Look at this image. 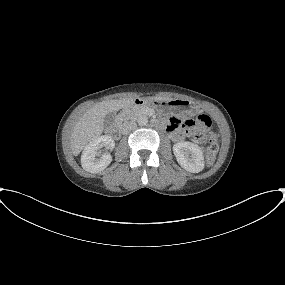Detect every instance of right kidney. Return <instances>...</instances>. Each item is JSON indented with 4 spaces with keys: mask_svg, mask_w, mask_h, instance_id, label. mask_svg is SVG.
I'll return each mask as SVG.
<instances>
[{
    "mask_svg": "<svg viewBox=\"0 0 285 285\" xmlns=\"http://www.w3.org/2000/svg\"><path fill=\"white\" fill-rule=\"evenodd\" d=\"M115 146L113 139L108 135H102L93 139L85 146L81 155V165L84 170L90 173H99L104 170L112 161L110 153L102 154L100 158L98 150L105 147L107 150H112Z\"/></svg>",
    "mask_w": 285,
    "mask_h": 285,
    "instance_id": "1",
    "label": "right kidney"
}]
</instances>
